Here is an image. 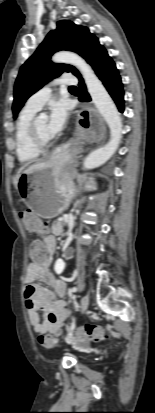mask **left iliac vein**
<instances>
[{
	"instance_id": "4c4485c4",
	"label": "left iliac vein",
	"mask_w": 155,
	"mask_h": 413,
	"mask_svg": "<svg viewBox=\"0 0 155 413\" xmlns=\"http://www.w3.org/2000/svg\"><path fill=\"white\" fill-rule=\"evenodd\" d=\"M89 306V296L85 295L82 297L81 302H80V312L81 314H84L86 310L88 309Z\"/></svg>"
}]
</instances>
